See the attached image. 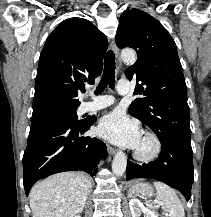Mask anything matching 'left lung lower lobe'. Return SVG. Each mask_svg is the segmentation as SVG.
I'll return each mask as SVG.
<instances>
[{"label":"left lung lower lobe","mask_w":211,"mask_h":217,"mask_svg":"<svg viewBox=\"0 0 211 217\" xmlns=\"http://www.w3.org/2000/svg\"><path fill=\"white\" fill-rule=\"evenodd\" d=\"M162 148L157 160L138 165L128 160L126 178H151L179 190L186 200L191 197L194 179L193 152L190 140L166 134L158 137Z\"/></svg>","instance_id":"0a47b994"}]
</instances>
